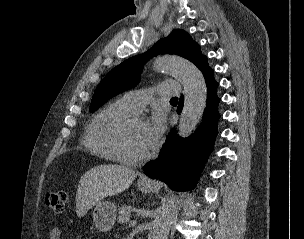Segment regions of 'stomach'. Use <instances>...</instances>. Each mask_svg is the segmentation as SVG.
<instances>
[{
  "label": "stomach",
  "mask_w": 304,
  "mask_h": 239,
  "mask_svg": "<svg viewBox=\"0 0 304 239\" xmlns=\"http://www.w3.org/2000/svg\"><path fill=\"white\" fill-rule=\"evenodd\" d=\"M138 188L142 192H149V184L138 183ZM116 206L110 201L98 202L93 210L92 218L96 228L101 232H107L112 229L116 220Z\"/></svg>",
  "instance_id": "obj_1"
}]
</instances>
